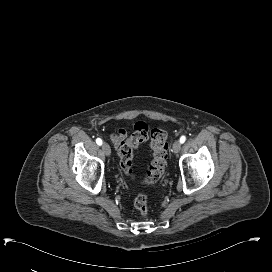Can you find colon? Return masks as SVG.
Wrapping results in <instances>:
<instances>
[{"mask_svg":"<svg viewBox=\"0 0 272 272\" xmlns=\"http://www.w3.org/2000/svg\"><path fill=\"white\" fill-rule=\"evenodd\" d=\"M147 140L150 141L153 159L143 183L153 184L163 176L167 166L168 141L163 129L150 128L144 121L136 122L132 136L119 145L118 152L123 173L131 176L134 150ZM134 208L140 216H146L149 212L147 197L143 194L137 195L134 199Z\"/></svg>","mask_w":272,"mask_h":272,"instance_id":"colon-1","label":"colon"}]
</instances>
